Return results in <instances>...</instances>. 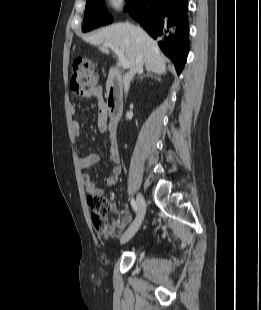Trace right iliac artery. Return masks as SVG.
I'll return each instance as SVG.
<instances>
[{
    "mask_svg": "<svg viewBox=\"0 0 261 310\" xmlns=\"http://www.w3.org/2000/svg\"><path fill=\"white\" fill-rule=\"evenodd\" d=\"M131 206H132L133 210L135 212H137L138 206H137V203H136V201L134 199H131Z\"/></svg>",
    "mask_w": 261,
    "mask_h": 310,
    "instance_id": "right-iliac-artery-1",
    "label": "right iliac artery"
}]
</instances>
